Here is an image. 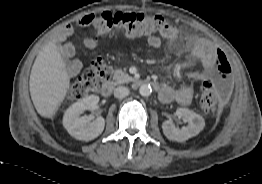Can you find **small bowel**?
I'll list each match as a JSON object with an SVG mask.
<instances>
[{
  "mask_svg": "<svg viewBox=\"0 0 262 184\" xmlns=\"http://www.w3.org/2000/svg\"><path fill=\"white\" fill-rule=\"evenodd\" d=\"M72 31L71 26H67L62 32V39H65L70 35ZM178 37V32L175 28L169 27L163 31L160 36L154 35L147 38V44L154 49L161 46V38L168 41H175ZM83 44L88 49H93L97 46V41L92 38H86ZM186 47L190 55L200 60L202 64V70L198 73H193L191 75V83L189 85L183 86L178 89H174L168 84H160L158 87L159 99L164 103H170L175 101L176 103L186 106L192 102L194 95V84L198 81H206L211 78L214 70H216L218 63L216 60L215 53L217 49L209 42L201 39H196L192 37L185 38ZM63 54L66 57H71L74 54V46L71 42H66L63 46ZM82 68L81 62L78 60H73L69 65V72L72 76L77 75Z\"/></svg>",
  "mask_w": 262,
  "mask_h": 184,
  "instance_id": "c3829d8e",
  "label": "small bowel"
}]
</instances>
